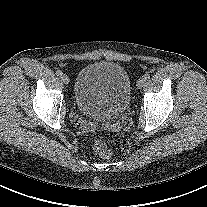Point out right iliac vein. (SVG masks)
<instances>
[{"instance_id": "right-iliac-vein-1", "label": "right iliac vein", "mask_w": 207, "mask_h": 207, "mask_svg": "<svg viewBox=\"0 0 207 207\" xmlns=\"http://www.w3.org/2000/svg\"><path fill=\"white\" fill-rule=\"evenodd\" d=\"M60 79H61L62 83H64V84H68L69 83V77L66 74H62L60 76Z\"/></svg>"}]
</instances>
